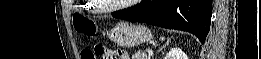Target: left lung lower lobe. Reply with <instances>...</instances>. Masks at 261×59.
<instances>
[{"instance_id": "obj_1", "label": "left lung lower lobe", "mask_w": 261, "mask_h": 59, "mask_svg": "<svg viewBox=\"0 0 261 59\" xmlns=\"http://www.w3.org/2000/svg\"><path fill=\"white\" fill-rule=\"evenodd\" d=\"M212 0H143L138 6L113 14L116 18L187 31L204 43L209 32Z\"/></svg>"}]
</instances>
